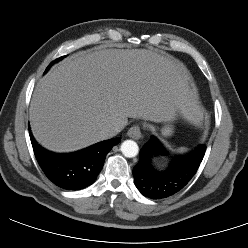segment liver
<instances>
[{"label":"liver","instance_id":"1","mask_svg":"<svg viewBox=\"0 0 248 248\" xmlns=\"http://www.w3.org/2000/svg\"><path fill=\"white\" fill-rule=\"evenodd\" d=\"M176 65L146 49L79 52L38 82L30 106L35 139L55 152L75 151L110 138L128 118L168 120L186 91Z\"/></svg>","mask_w":248,"mask_h":248}]
</instances>
